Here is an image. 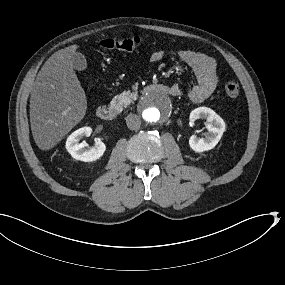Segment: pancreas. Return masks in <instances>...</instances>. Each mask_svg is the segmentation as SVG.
I'll return each mask as SVG.
<instances>
[{
  "label": "pancreas",
  "mask_w": 285,
  "mask_h": 285,
  "mask_svg": "<svg viewBox=\"0 0 285 285\" xmlns=\"http://www.w3.org/2000/svg\"><path fill=\"white\" fill-rule=\"evenodd\" d=\"M137 98V91H126L124 95L117 94L115 97L111 98L110 102L108 103V108L110 110H115L117 113H119L130 103L136 102Z\"/></svg>",
  "instance_id": "1"
}]
</instances>
